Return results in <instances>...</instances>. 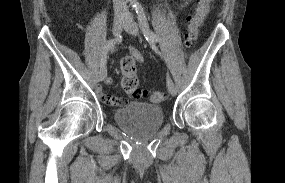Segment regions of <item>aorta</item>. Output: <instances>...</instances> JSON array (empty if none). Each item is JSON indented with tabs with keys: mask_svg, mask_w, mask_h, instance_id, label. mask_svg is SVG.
I'll use <instances>...</instances> for the list:
<instances>
[{
	"mask_svg": "<svg viewBox=\"0 0 285 183\" xmlns=\"http://www.w3.org/2000/svg\"><path fill=\"white\" fill-rule=\"evenodd\" d=\"M133 7L139 6L138 0H129Z\"/></svg>",
	"mask_w": 285,
	"mask_h": 183,
	"instance_id": "obj_1",
	"label": "aorta"
}]
</instances>
